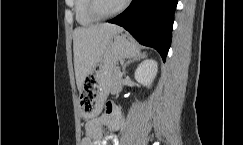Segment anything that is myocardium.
<instances>
[{
	"instance_id": "obj_1",
	"label": "myocardium",
	"mask_w": 243,
	"mask_h": 145,
	"mask_svg": "<svg viewBox=\"0 0 243 145\" xmlns=\"http://www.w3.org/2000/svg\"><path fill=\"white\" fill-rule=\"evenodd\" d=\"M131 0H124L122 5L116 9L115 11H112L110 13H104L99 6V0H89L88 4V10L89 13L97 20H105L112 18L114 16L119 15L122 13L129 5Z\"/></svg>"
}]
</instances>
